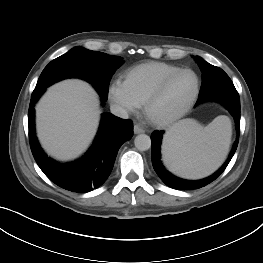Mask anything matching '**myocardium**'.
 Returning a JSON list of instances; mask_svg holds the SVG:
<instances>
[{
    "instance_id": "myocardium-1",
    "label": "myocardium",
    "mask_w": 263,
    "mask_h": 263,
    "mask_svg": "<svg viewBox=\"0 0 263 263\" xmlns=\"http://www.w3.org/2000/svg\"><path fill=\"white\" fill-rule=\"evenodd\" d=\"M184 72H191L196 79V85L193 94L188 99V101L184 104V106L175 112L172 115L166 116V117H156L153 115L152 109L154 104L157 102V100L161 97V95L164 93L165 89L167 88L168 84L179 74ZM201 88V80L199 74L192 68H179L178 70L168 74L166 77H164L159 84L155 87V89L150 93V95L147 97L145 103H144V113L147 117V119L157 125V126H167L170 125L179 119H181L183 116H185L190 109L195 104Z\"/></svg>"
}]
</instances>
